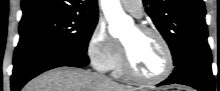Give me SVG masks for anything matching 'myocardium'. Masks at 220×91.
<instances>
[{"label":"myocardium","instance_id":"f54148a6","mask_svg":"<svg viewBox=\"0 0 220 91\" xmlns=\"http://www.w3.org/2000/svg\"><path fill=\"white\" fill-rule=\"evenodd\" d=\"M136 29L143 33V34H149V35H153L161 44L164 53H165V57H166V65L164 70L153 77H147V76H143L140 75L139 73H137L130 62V58L127 52L126 47L124 46V44L122 43V68H123V73L130 79L135 80L137 82L143 83V84H155V83H159L163 80H165L166 78H168L174 69V56H173V52L172 49L168 43V41L166 40V38L164 37V35L159 32L158 30L152 28V27H148V26H137Z\"/></svg>","mask_w":220,"mask_h":91}]
</instances>
